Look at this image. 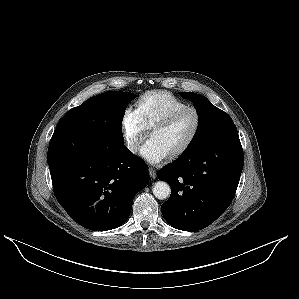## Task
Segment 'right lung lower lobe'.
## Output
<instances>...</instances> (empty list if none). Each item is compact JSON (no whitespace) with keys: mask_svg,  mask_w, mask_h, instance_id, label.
Listing matches in <instances>:
<instances>
[{"mask_svg":"<svg viewBox=\"0 0 299 299\" xmlns=\"http://www.w3.org/2000/svg\"><path fill=\"white\" fill-rule=\"evenodd\" d=\"M47 161L58 202L94 231L122 225L135 194L149 182L147 166L124 142L102 136L55 130Z\"/></svg>","mask_w":299,"mask_h":299,"instance_id":"right-lung-lower-lobe-1","label":"right lung lower lobe"}]
</instances>
